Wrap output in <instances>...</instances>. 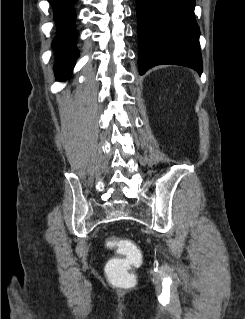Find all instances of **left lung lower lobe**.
Instances as JSON below:
<instances>
[{
    "label": "left lung lower lobe",
    "instance_id": "1",
    "mask_svg": "<svg viewBox=\"0 0 245 319\" xmlns=\"http://www.w3.org/2000/svg\"><path fill=\"white\" fill-rule=\"evenodd\" d=\"M195 0H136L139 72L177 64L202 73Z\"/></svg>",
    "mask_w": 245,
    "mask_h": 319
}]
</instances>
